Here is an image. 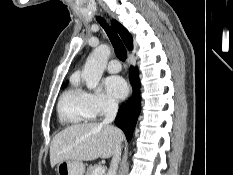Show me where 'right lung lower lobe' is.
<instances>
[{
    "label": "right lung lower lobe",
    "mask_w": 233,
    "mask_h": 175,
    "mask_svg": "<svg viewBox=\"0 0 233 175\" xmlns=\"http://www.w3.org/2000/svg\"><path fill=\"white\" fill-rule=\"evenodd\" d=\"M130 81L133 86V95L127 103H123L118 111L115 124L125 133L130 140L140 113L139 78L137 68H130Z\"/></svg>",
    "instance_id": "right-lung-lower-lobe-1"
}]
</instances>
